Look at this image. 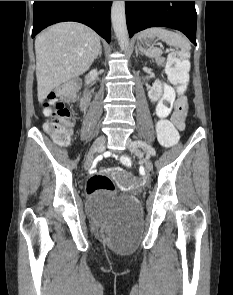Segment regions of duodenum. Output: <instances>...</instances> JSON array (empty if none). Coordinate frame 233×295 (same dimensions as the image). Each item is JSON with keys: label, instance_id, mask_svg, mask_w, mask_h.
I'll return each mask as SVG.
<instances>
[{"label": "duodenum", "instance_id": "410a0bca", "mask_svg": "<svg viewBox=\"0 0 233 295\" xmlns=\"http://www.w3.org/2000/svg\"><path fill=\"white\" fill-rule=\"evenodd\" d=\"M89 101H90V94L89 93H86L84 98H83V101H82V108L83 109H86L88 104H89Z\"/></svg>", "mask_w": 233, "mask_h": 295}]
</instances>
